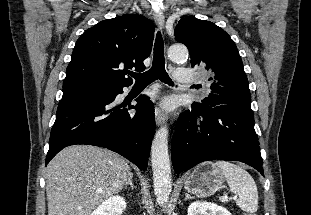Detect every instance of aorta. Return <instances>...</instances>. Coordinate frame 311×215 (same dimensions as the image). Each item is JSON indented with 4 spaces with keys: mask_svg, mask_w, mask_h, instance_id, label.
<instances>
[{
    "mask_svg": "<svg viewBox=\"0 0 311 215\" xmlns=\"http://www.w3.org/2000/svg\"><path fill=\"white\" fill-rule=\"evenodd\" d=\"M168 56L172 61H183L188 56V50L183 45H173L168 50ZM151 163L157 201L159 204H165L172 188L166 126L161 127L155 134L151 147Z\"/></svg>",
    "mask_w": 311,
    "mask_h": 215,
    "instance_id": "aorta-1",
    "label": "aorta"
}]
</instances>
